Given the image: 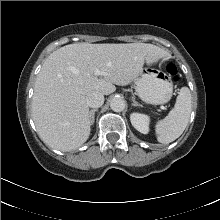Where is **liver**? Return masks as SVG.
Returning a JSON list of instances; mask_svg holds the SVG:
<instances>
[{
  "label": "liver",
  "mask_w": 220,
  "mask_h": 220,
  "mask_svg": "<svg viewBox=\"0 0 220 220\" xmlns=\"http://www.w3.org/2000/svg\"><path fill=\"white\" fill-rule=\"evenodd\" d=\"M162 58L170 54L145 43H75L52 52L37 75L32 98V117L41 139L61 151L80 147L91 130L87 95H109L115 85L134 81L145 62Z\"/></svg>",
  "instance_id": "1"
}]
</instances>
